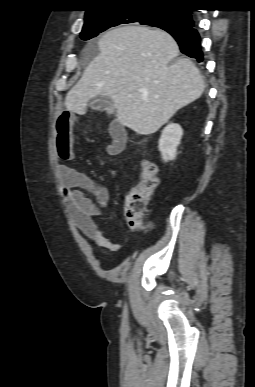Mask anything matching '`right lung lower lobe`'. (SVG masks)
I'll return each mask as SVG.
<instances>
[{
  "instance_id": "98d812e1",
  "label": "right lung lower lobe",
  "mask_w": 255,
  "mask_h": 387,
  "mask_svg": "<svg viewBox=\"0 0 255 387\" xmlns=\"http://www.w3.org/2000/svg\"><path fill=\"white\" fill-rule=\"evenodd\" d=\"M183 14H186L191 18V25L167 28L162 27V29L170 33L175 38L182 53L196 59L198 62H202L204 58L201 50V39L196 29L195 22L192 18L190 10L184 9Z\"/></svg>"
}]
</instances>
